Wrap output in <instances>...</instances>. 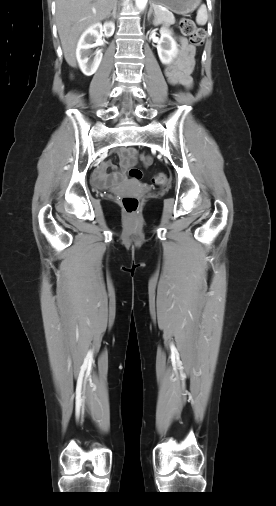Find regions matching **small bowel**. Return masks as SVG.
<instances>
[{
  "label": "small bowel",
  "instance_id": "c3829d8e",
  "mask_svg": "<svg viewBox=\"0 0 276 506\" xmlns=\"http://www.w3.org/2000/svg\"><path fill=\"white\" fill-rule=\"evenodd\" d=\"M180 44V52L175 62L165 67V75L171 84L190 88L192 86L190 74L194 65V47L190 45L185 38L180 39ZM138 155V151L135 148L129 147L122 149L120 153V169L112 175H107L105 169L109 167L115 169V166L110 162L102 163L94 174L95 186L103 190L118 185L125 179L127 169L135 164Z\"/></svg>",
  "mask_w": 276,
  "mask_h": 506
}]
</instances>
